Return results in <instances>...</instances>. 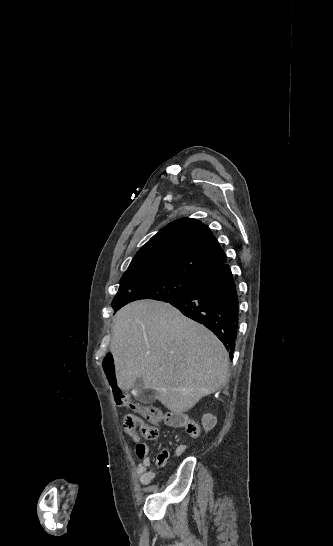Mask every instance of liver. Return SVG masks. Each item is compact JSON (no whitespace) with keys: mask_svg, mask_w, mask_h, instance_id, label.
Returning <instances> with one entry per match:
<instances>
[{"mask_svg":"<svg viewBox=\"0 0 333 546\" xmlns=\"http://www.w3.org/2000/svg\"><path fill=\"white\" fill-rule=\"evenodd\" d=\"M110 351L121 390L142 378L144 388L155 390L161 404L179 416L228 381L223 344L168 303L142 300L121 308Z\"/></svg>","mask_w":333,"mask_h":546,"instance_id":"liver-1","label":"liver"}]
</instances>
